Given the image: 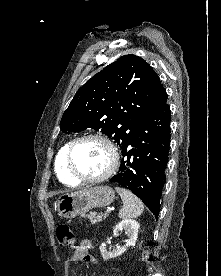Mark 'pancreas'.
Segmentation results:
<instances>
[{
    "mask_svg": "<svg viewBox=\"0 0 221 276\" xmlns=\"http://www.w3.org/2000/svg\"><path fill=\"white\" fill-rule=\"evenodd\" d=\"M83 217L88 218L92 224H96L97 222L102 221L103 218H106L107 214L100 213L97 215L96 213H90L87 215H83Z\"/></svg>",
    "mask_w": 221,
    "mask_h": 276,
    "instance_id": "pancreas-1",
    "label": "pancreas"
}]
</instances>
